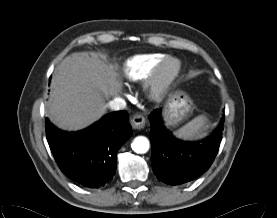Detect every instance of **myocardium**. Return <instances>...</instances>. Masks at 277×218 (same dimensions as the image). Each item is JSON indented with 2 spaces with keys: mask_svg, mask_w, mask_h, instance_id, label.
I'll list each match as a JSON object with an SVG mask.
<instances>
[{
  "mask_svg": "<svg viewBox=\"0 0 277 218\" xmlns=\"http://www.w3.org/2000/svg\"><path fill=\"white\" fill-rule=\"evenodd\" d=\"M180 71L181 63L177 58L167 56L160 61L146 82L149 96L153 100L163 98L178 78Z\"/></svg>",
  "mask_w": 277,
  "mask_h": 218,
  "instance_id": "1",
  "label": "myocardium"
}]
</instances>
